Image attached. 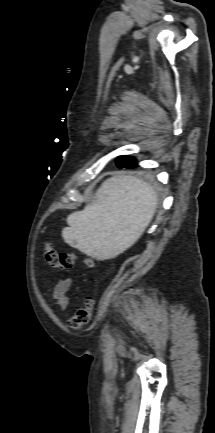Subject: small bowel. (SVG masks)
Instances as JSON below:
<instances>
[{
  "label": "small bowel",
  "instance_id": "small-bowel-1",
  "mask_svg": "<svg viewBox=\"0 0 215 433\" xmlns=\"http://www.w3.org/2000/svg\"><path fill=\"white\" fill-rule=\"evenodd\" d=\"M71 286V279L66 278L61 280L55 287L54 298L58 307L64 310L68 306V298L66 296Z\"/></svg>",
  "mask_w": 215,
  "mask_h": 433
}]
</instances>
